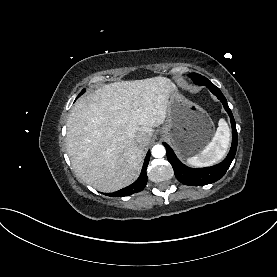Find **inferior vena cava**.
<instances>
[{"label":"inferior vena cava","instance_id":"1","mask_svg":"<svg viewBox=\"0 0 277 277\" xmlns=\"http://www.w3.org/2000/svg\"><path fill=\"white\" fill-rule=\"evenodd\" d=\"M135 141L139 145H145L148 142V137H147V135L144 132H139L135 136Z\"/></svg>","mask_w":277,"mask_h":277}]
</instances>
